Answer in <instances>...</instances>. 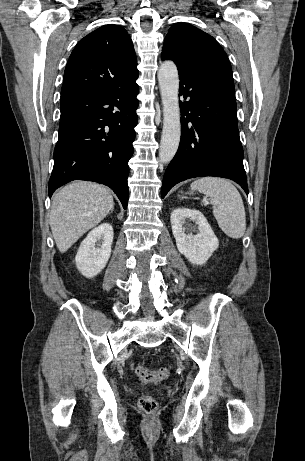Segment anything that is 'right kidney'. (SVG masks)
<instances>
[{"label":"right kidney","instance_id":"obj_1","mask_svg":"<svg viewBox=\"0 0 305 461\" xmlns=\"http://www.w3.org/2000/svg\"><path fill=\"white\" fill-rule=\"evenodd\" d=\"M113 228L109 223H103L89 232L82 241L75 257L77 269L87 278L100 273L106 266L113 242ZM102 244L96 246L98 242Z\"/></svg>","mask_w":305,"mask_h":461}]
</instances>
